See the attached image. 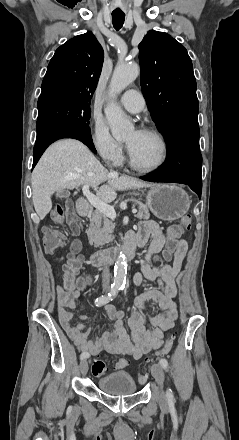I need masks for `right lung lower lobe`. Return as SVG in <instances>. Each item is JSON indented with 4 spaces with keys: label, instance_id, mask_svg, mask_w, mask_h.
<instances>
[{
    "label": "right lung lower lobe",
    "instance_id": "98d812e1",
    "mask_svg": "<svg viewBox=\"0 0 239 440\" xmlns=\"http://www.w3.org/2000/svg\"><path fill=\"white\" fill-rule=\"evenodd\" d=\"M62 138L78 139L87 145L92 152L96 153L90 131L65 123H49L37 128V138L33 149L34 160L32 168L37 164L46 148L54 141Z\"/></svg>",
    "mask_w": 239,
    "mask_h": 440
}]
</instances>
